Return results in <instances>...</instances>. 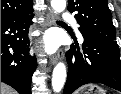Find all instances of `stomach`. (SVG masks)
Returning a JSON list of instances; mask_svg holds the SVG:
<instances>
[{
    "label": "stomach",
    "mask_w": 121,
    "mask_h": 94,
    "mask_svg": "<svg viewBox=\"0 0 121 94\" xmlns=\"http://www.w3.org/2000/svg\"><path fill=\"white\" fill-rule=\"evenodd\" d=\"M76 94H106V91L97 85H86L82 87Z\"/></svg>",
    "instance_id": "1"
}]
</instances>
